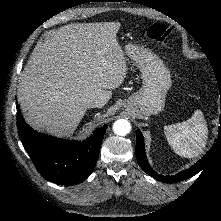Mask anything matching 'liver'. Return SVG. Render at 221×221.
<instances>
[{
	"instance_id": "liver-1",
	"label": "liver",
	"mask_w": 221,
	"mask_h": 221,
	"mask_svg": "<svg viewBox=\"0 0 221 221\" xmlns=\"http://www.w3.org/2000/svg\"><path fill=\"white\" fill-rule=\"evenodd\" d=\"M119 22L74 23L53 31L30 56L19 77L25 120L56 136L72 134L89 100L104 105L126 78L117 40Z\"/></svg>"
}]
</instances>
